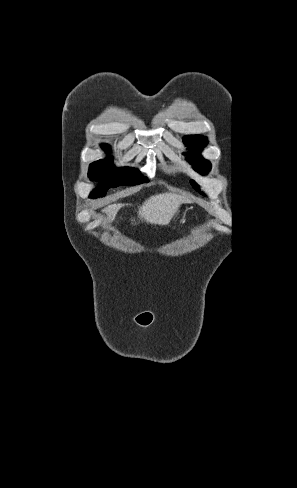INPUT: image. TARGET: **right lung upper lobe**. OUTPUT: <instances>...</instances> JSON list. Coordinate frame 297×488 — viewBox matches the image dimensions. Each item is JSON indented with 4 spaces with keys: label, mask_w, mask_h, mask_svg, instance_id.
Listing matches in <instances>:
<instances>
[{
    "label": "right lung upper lobe",
    "mask_w": 297,
    "mask_h": 488,
    "mask_svg": "<svg viewBox=\"0 0 297 488\" xmlns=\"http://www.w3.org/2000/svg\"><path fill=\"white\" fill-rule=\"evenodd\" d=\"M104 148L108 149L109 147L104 145Z\"/></svg>",
    "instance_id": "obj_1"
}]
</instances>
